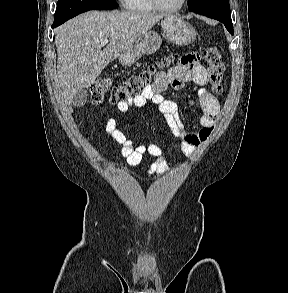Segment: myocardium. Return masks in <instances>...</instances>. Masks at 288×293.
<instances>
[{
  "instance_id": "f54148a6",
  "label": "myocardium",
  "mask_w": 288,
  "mask_h": 293,
  "mask_svg": "<svg viewBox=\"0 0 288 293\" xmlns=\"http://www.w3.org/2000/svg\"><path fill=\"white\" fill-rule=\"evenodd\" d=\"M150 2L153 5V7L157 10H160L163 12H177V11H180L184 7L186 0H180V3L174 7H166L162 5L158 0H150Z\"/></svg>"
}]
</instances>
